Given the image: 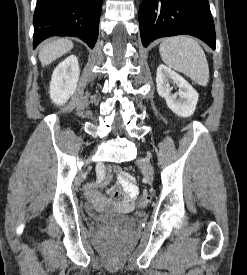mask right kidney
I'll return each mask as SVG.
<instances>
[{
	"label": "right kidney",
	"instance_id": "right-kidney-1",
	"mask_svg": "<svg viewBox=\"0 0 247 275\" xmlns=\"http://www.w3.org/2000/svg\"><path fill=\"white\" fill-rule=\"evenodd\" d=\"M80 70L78 59L70 55L54 69L50 82V98L56 105L65 104L75 93Z\"/></svg>",
	"mask_w": 247,
	"mask_h": 275
}]
</instances>
